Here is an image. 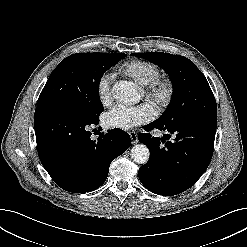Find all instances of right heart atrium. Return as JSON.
<instances>
[{
  "label": "right heart atrium",
  "instance_id": "d8ad5b80",
  "mask_svg": "<svg viewBox=\"0 0 247 247\" xmlns=\"http://www.w3.org/2000/svg\"><path fill=\"white\" fill-rule=\"evenodd\" d=\"M113 75L111 73L102 74L96 82V92L100 102L108 105L112 101Z\"/></svg>",
  "mask_w": 247,
  "mask_h": 247
}]
</instances>
